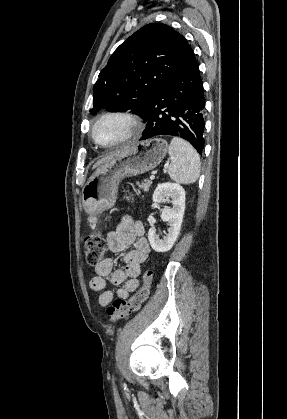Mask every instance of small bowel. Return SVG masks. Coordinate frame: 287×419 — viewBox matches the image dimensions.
<instances>
[{
  "mask_svg": "<svg viewBox=\"0 0 287 419\" xmlns=\"http://www.w3.org/2000/svg\"><path fill=\"white\" fill-rule=\"evenodd\" d=\"M107 244L114 253L124 252L131 245L133 249L124 255V268L114 269L111 259L104 260L95 268L97 275L92 278L90 286L94 291L100 292L99 303L102 306L110 304L115 297L127 299L138 289L141 266L150 253L144 224L129 218L123 219L114 231L108 233ZM107 280L119 288L116 291L107 289Z\"/></svg>",
  "mask_w": 287,
  "mask_h": 419,
  "instance_id": "obj_1",
  "label": "small bowel"
}]
</instances>
